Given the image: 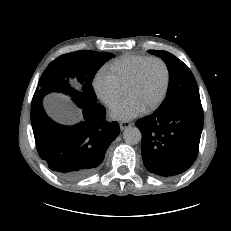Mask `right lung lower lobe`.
I'll use <instances>...</instances> for the list:
<instances>
[{
    "label": "right lung lower lobe",
    "mask_w": 231,
    "mask_h": 231,
    "mask_svg": "<svg viewBox=\"0 0 231 231\" xmlns=\"http://www.w3.org/2000/svg\"><path fill=\"white\" fill-rule=\"evenodd\" d=\"M43 97H33L31 123L41 159L59 176L79 180L92 175L102 163L111 142L119 135L117 122L105 120L106 110L99 103L77 104L84 120L63 126L47 117Z\"/></svg>",
    "instance_id": "right-lung-lower-lobe-1"
}]
</instances>
